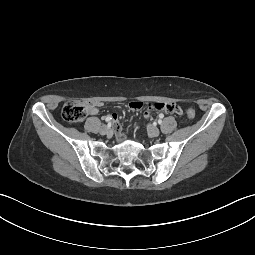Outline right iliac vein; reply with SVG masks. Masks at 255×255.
<instances>
[{"label": "right iliac vein", "mask_w": 255, "mask_h": 255, "mask_svg": "<svg viewBox=\"0 0 255 255\" xmlns=\"http://www.w3.org/2000/svg\"><path fill=\"white\" fill-rule=\"evenodd\" d=\"M109 132H110V128H109V126H107V125L102 126L101 129H100V133H101L102 135H106V134H108Z\"/></svg>", "instance_id": "63e3f726"}]
</instances>
